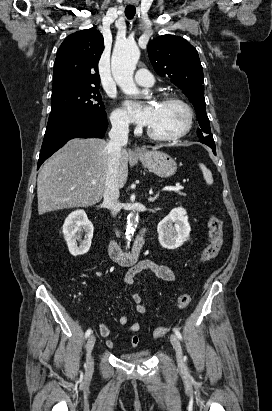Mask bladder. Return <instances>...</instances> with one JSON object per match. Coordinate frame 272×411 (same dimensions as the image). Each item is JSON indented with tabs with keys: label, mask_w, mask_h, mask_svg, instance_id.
<instances>
[{
	"label": "bladder",
	"mask_w": 272,
	"mask_h": 411,
	"mask_svg": "<svg viewBox=\"0 0 272 411\" xmlns=\"http://www.w3.org/2000/svg\"><path fill=\"white\" fill-rule=\"evenodd\" d=\"M150 357V352H138L133 354H124L120 356V359L126 362H141Z\"/></svg>",
	"instance_id": "31cf9c89"
}]
</instances>
